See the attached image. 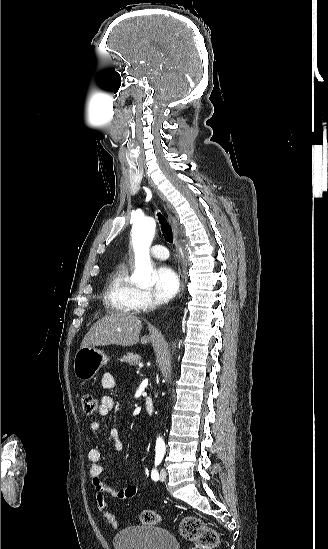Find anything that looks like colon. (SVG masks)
<instances>
[{"instance_id":"5ec220e1","label":"colon","mask_w":328,"mask_h":549,"mask_svg":"<svg viewBox=\"0 0 328 549\" xmlns=\"http://www.w3.org/2000/svg\"><path fill=\"white\" fill-rule=\"evenodd\" d=\"M83 411L87 415H91L97 408V402L91 394H85L82 397ZM98 501L100 504L101 517L103 522L112 528L118 526L116 517L110 512L103 509L104 492L102 489L97 490ZM140 521L145 525H156L160 522V515L154 510H144L140 514ZM179 531L181 536L192 543L190 549H215L218 546L219 538L214 529L207 526L200 518L194 516H186L179 523Z\"/></svg>"}]
</instances>
